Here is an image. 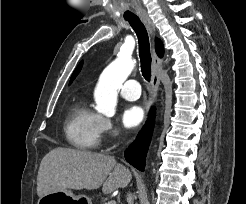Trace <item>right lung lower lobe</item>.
Listing matches in <instances>:
<instances>
[{
  "label": "right lung lower lobe",
  "instance_id": "98d812e1",
  "mask_svg": "<svg viewBox=\"0 0 246 204\" xmlns=\"http://www.w3.org/2000/svg\"><path fill=\"white\" fill-rule=\"evenodd\" d=\"M154 122V109L151 110L149 120L136 141L126 150V160L140 171H144L146 153L150 144Z\"/></svg>",
  "mask_w": 246,
  "mask_h": 204
}]
</instances>
